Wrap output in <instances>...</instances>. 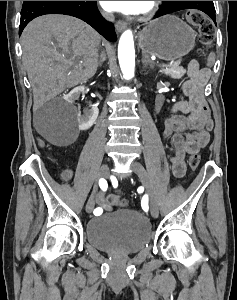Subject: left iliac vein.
<instances>
[{
    "mask_svg": "<svg viewBox=\"0 0 237 300\" xmlns=\"http://www.w3.org/2000/svg\"><path fill=\"white\" fill-rule=\"evenodd\" d=\"M131 168L137 174V176L141 179L142 184H143L144 188L146 189V192L150 199L151 213L154 218H157L159 215L158 204L155 199V195L153 193V189L150 184L148 173H147L146 169L144 168V166L141 163H139L137 161L132 162Z\"/></svg>",
    "mask_w": 237,
    "mask_h": 300,
    "instance_id": "4c4485c4",
    "label": "left iliac vein"
}]
</instances>
